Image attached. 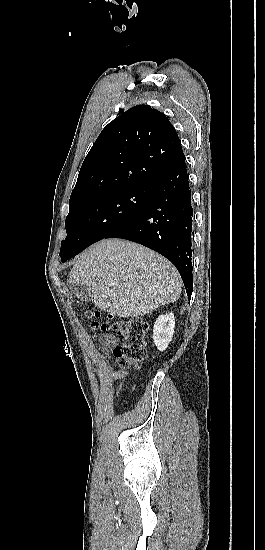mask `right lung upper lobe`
I'll return each instance as SVG.
<instances>
[{
    "label": "right lung upper lobe",
    "instance_id": "right-lung-upper-lobe-1",
    "mask_svg": "<svg viewBox=\"0 0 265 550\" xmlns=\"http://www.w3.org/2000/svg\"><path fill=\"white\" fill-rule=\"evenodd\" d=\"M184 156L168 118L148 105L122 113L87 154L69 204L136 187L154 186Z\"/></svg>",
    "mask_w": 265,
    "mask_h": 550
}]
</instances>
